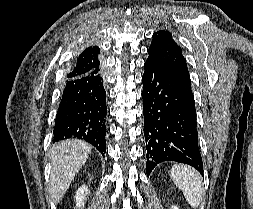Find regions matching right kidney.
<instances>
[{"label": "right kidney", "instance_id": "1", "mask_svg": "<svg viewBox=\"0 0 253 209\" xmlns=\"http://www.w3.org/2000/svg\"><path fill=\"white\" fill-rule=\"evenodd\" d=\"M88 194V188L86 186H82L78 189L76 192V202H77V207L84 206V200H85V195Z\"/></svg>", "mask_w": 253, "mask_h": 209}]
</instances>
